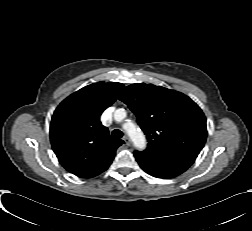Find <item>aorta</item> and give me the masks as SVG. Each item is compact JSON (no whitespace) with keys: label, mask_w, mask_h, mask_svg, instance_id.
<instances>
[{"label":"aorta","mask_w":252,"mask_h":231,"mask_svg":"<svg viewBox=\"0 0 252 231\" xmlns=\"http://www.w3.org/2000/svg\"><path fill=\"white\" fill-rule=\"evenodd\" d=\"M124 129L127 131V134L137 149L143 150L146 148L145 135L139 128L133 123H127L124 125Z\"/></svg>","instance_id":"aorta-1"}]
</instances>
